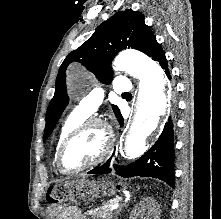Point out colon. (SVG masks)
I'll use <instances>...</instances> for the list:
<instances>
[{
	"instance_id": "colon-1",
	"label": "colon",
	"mask_w": 221,
	"mask_h": 219,
	"mask_svg": "<svg viewBox=\"0 0 221 219\" xmlns=\"http://www.w3.org/2000/svg\"><path fill=\"white\" fill-rule=\"evenodd\" d=\"M54 193V196H53ZM52 191L48 194L47 198L49 201L55 204H60V205H66L71 199H64V194H67L65 189L58 186L55 187Z\"/></svg>"
}]
</instances>
